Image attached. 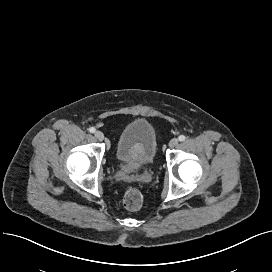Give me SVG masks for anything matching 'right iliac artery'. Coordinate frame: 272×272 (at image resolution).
I'll use <instances>...</instances> for the list:
<instances>
[{
  "mask_svg": "<svg viewBox=\"0 0 272 272\" xmlns=\"http://www.w3.org/2000/svg\"><path fill=\"white\" fill-rule=\"evenodd\" d=\"M89 131H90L91 133H94V132L96 131V129H95L94 127H90V128H89Z\"/></svg>",
  "mask_w": 272,
  "mask_h": 272,
  "instance_id": "1",
  "label": "right iliac artery"
}]
</instances>
